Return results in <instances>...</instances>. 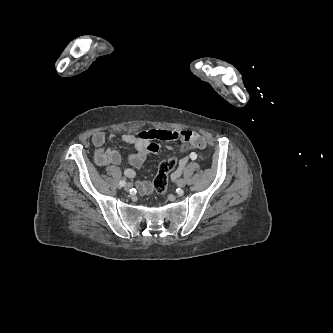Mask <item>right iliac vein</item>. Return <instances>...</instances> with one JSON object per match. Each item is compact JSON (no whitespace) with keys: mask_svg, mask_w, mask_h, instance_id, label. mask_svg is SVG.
Returning <instances> with one entry per match:
<instances>
[{"mask_svg":"<svg viewBox=\"0 0 333 333\" xmlns=\"http://www.w3.org/2000/svg\"><path fill=\"white\" fill-rule=\"evenodd\" d=\"M131 188H132V184H131V183H127V184L125 185V187H124V189H125L126 191H129Z\"/></svg>","mask_w":333,"mask_h":333,"instance_id":"63e3f726","label":"right iliac vein"}]
</instances>
